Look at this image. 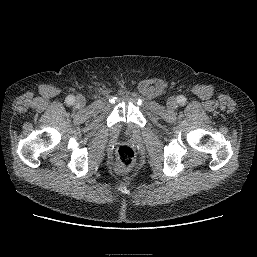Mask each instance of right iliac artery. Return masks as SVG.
Here are the masks:
<instances>
[{"mask_svg":"<svg viewBox=\"0 0 257 257\" xmlns=\"http://www.w3.org/2000/svg\"><path fill=\"white\" fill-rule=\"evenodd\" d=\"M75 99H74V96L72 95H69L67 98H66V103L68 105H72L74 103Z\"/></svg>","mask_w":257,"mask_h":257,"instance_id":"right-iliac-artery-1","label":"right iliac artery"}]
</instances>
